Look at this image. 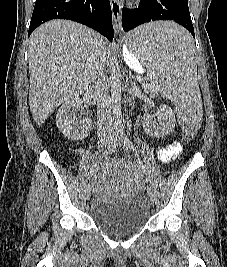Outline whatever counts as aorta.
<instances>
[{"mask_svg":"<svg viewBox=\"0 0 227 267\" xmlns=\"http://www.w3.org/2000/svg\"><path fill=\"white\" fill-rule=\"evenodd\" d=\"M121 72L117 66H113L111 72V103L114 125L116 127L121 125Z\"/></svg>","mask_w":227,"mask_h":267,"instance_id":"1","label":"aorta"}]
</instances>
